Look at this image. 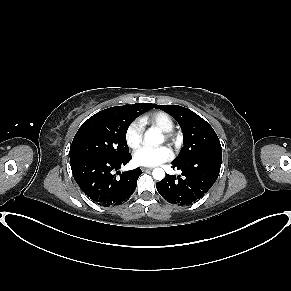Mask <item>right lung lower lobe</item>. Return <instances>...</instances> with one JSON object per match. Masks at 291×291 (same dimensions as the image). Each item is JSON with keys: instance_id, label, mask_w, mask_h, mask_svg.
I'll list each match as a JSON object with an SVG mask.
<instances>
[{"instance_id": "obj_1", "label": "right lung lower lobe", "mask_w": 291, "mask_h": 291, "mask_svg": "<svg viewBox=\"0 0 291 291\" xmlns=\"http://www.w3.org/2000/svg\"><path fill=\"white\" fill-rule=\"evenodd\" d=\"M132 159L129 153L119 158H83L71 161L73 177L92 201L102 206L119 205L128 200L136 189L140 168L120 173L121 165ZM114 171L119 174L116 177Z\"/></svg>"}]
</instances>
